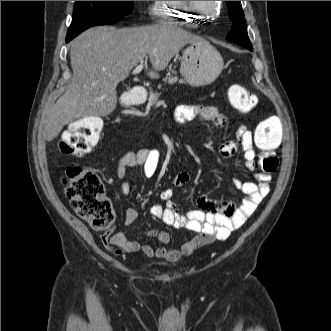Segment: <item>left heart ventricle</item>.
I'll return each mask as SVG.
<instances>
[{
    "label": "left heart ventricle",
    "mask_w": 331,
    "mask_h": 331,
    "mask_svg": "<svg viewBox=\"0 0 331 331\" xmlns=\"http://www.w3.org/2000/svg\"><path fill=\"white\" fill-rule=\"evenodd\" d=\"M200 2H202V4H204V5H210L211 4L210 1H200Z\"/></svg>",
    "instance_id": "b2bd125f"
}]
</instances>
